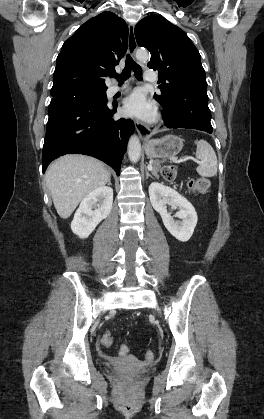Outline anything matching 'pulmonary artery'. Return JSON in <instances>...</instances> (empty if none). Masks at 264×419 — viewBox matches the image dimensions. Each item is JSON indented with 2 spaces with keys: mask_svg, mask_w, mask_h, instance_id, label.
I'll return each instance as SVG.
<instances>
[{
  "mask_svg": "<svg viewBox=\"0 0 264 419\" xmlns=\"http://www.w3.org/2000/svg\"><path fill=\"white\" fill-rule=\"evenodd\" d=\"M144 78H145L146 81L155 82L157 80V75H156V73L154 71L147 70L145 72V74H144ZM125 87H126V85H123V86H116V85L115 86H111L109 88V91L108 92H109V94L113 95V94H116L117 92L121 91Z\"/></svg>",
  "mask_w": 264,
  "mask_h": 419,
  "instance_id": "obj_1",
  "label": "pulmonary artery"
}]
</instances>
